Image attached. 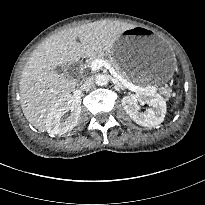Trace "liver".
Returning <instances> with one entry per match:
<instances>
[{
	"instance_id": "1",
	"label": "liver",
	"mask_w": 205,
	"mask_h": 205,
	"mask_svg": "<svg viewBox=\"0 0 205 205\" xmlns=\"http://www.w3.org/2000/svg\"><path fill=\"white\" fill-rule=\"evenodd\" d=\"M132 27L134 25L118 21H96L60 31L39 45L28 59L19 82L26 119L44 132L54 104L76 87L74 81L55 68L110 51L120 34Z\"/></svg>"
}]
</instances>
